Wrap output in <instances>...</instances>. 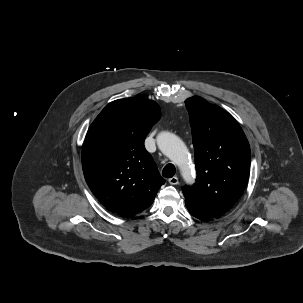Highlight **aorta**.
Listing matches in <instances>:
<instances>
[{
  "label": "aorta",
  "mask_w": 303,
  "mask_h": 303,
  "mask_svg": "<svg viewBox=\"0 0 303 303\" xmlns=\"http://www.w3.org/2000/svg\"><path fill=\"white\" fill-rule=\"evenodd\" d=\"M159 149L180 168L185 180H190L188 150L179 137L170 132H161L157 137Z\"/></svg>",
  "instance_id": "762f6f07"
}]
</instances>
